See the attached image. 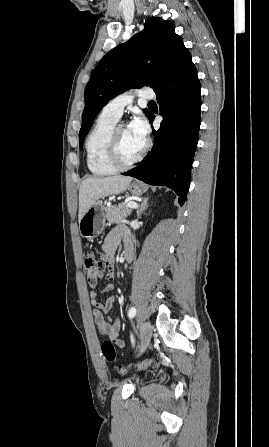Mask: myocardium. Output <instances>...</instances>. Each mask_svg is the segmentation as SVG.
<instances>
[{
    "instance_id": "1",
    "label": "myocardium",
    "mask_w": 269,
    "mask_h": 447,
    "mask_svg": "<svg viewBox=\"0 0 269 447\" xmlns=\"http://www.w3.org/2000/svg\"><path fill=\"white\" fill-rule=\"evenodd\" d=\"M121 125H115L112 129L109 140H108V158L109 161L117 168V169H127L135 164L139 163L147 154L150 149L151 142L146 140V145L141 154L136 157L134 160L130 162L123 161L120 153L119 143H118V131L120 130Z\"/></svg>"
}]
</instances>
